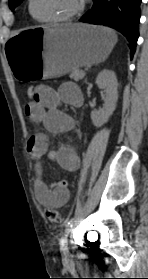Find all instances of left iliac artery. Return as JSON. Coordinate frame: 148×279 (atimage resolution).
Segmentation results:
<instances>
[{"label": "left iliac artery", "instance_id": "44dca946", "mask_svg": "<svg viewBox=\"0 0 148 279\" xmlns=\"http://www.w3.org/2000/svg\"><path fill=\"white\" fill-rule=\"evenodd\" d=\"M73 218L71 220H69L67 223H66V231H69L70 228L72 227V223H73Z\"/></svg>", "mask_w": 148, "mask_h": 279}]
</instances>
